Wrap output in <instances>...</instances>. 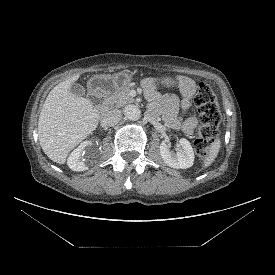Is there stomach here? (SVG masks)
Masks as SVG:
<instances>
[{
    "mask_svg": "<svg viewBox=\"0 0 275 275\" xmlns=\"http://www.w3.org/2000/svg\"><path fill=\"white\" fill-rule=\"evenodd\" d=\"M132 77L129 72H119L114 75H95L90 78L88 86L94 93L111 95L127 85ZM160 81L165 87H174L177 82L175 78L170 76H165Z\"/></svg>",
    "mask_w": 275,
    "mask_h": 275,
    "instance_id": "1",
    "label": "stomach"
}]
</instances>
